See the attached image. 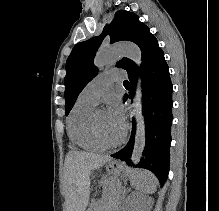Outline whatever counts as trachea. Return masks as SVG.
<instances>
[{"label":"trachea","instance_id":"1","mask_svg":"<svg viewBox=\"0 0 219 211\" xmlns=\"http://www.w3.org/2000/svg\"><path fill=\"white\" fill-rule=\"evenodd\" d=\"M124 84H129L128 80H125V81H124Z\"/></svg>","mask_w":219,"mask_h":211}]
</instances>
